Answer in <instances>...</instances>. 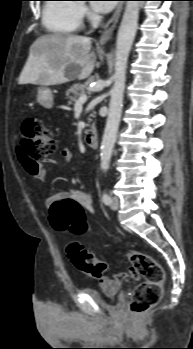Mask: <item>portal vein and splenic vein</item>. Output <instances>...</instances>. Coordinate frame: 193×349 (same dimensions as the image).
<instances>
[{
	"mask_svg": "<svg viewBox=\"0 0 193 349\" xmlns=\"http://www.w3.org/2000/svg\"><path fill=\"white\" fill-rule=\"evenodd\" d=\"M87 101V95L81 94L80 97L76 100L75 105L84 104Z\"/></svg>",
	"mask_w": 193,
	"mask_h": 349,
	"instance_id": "1",
	"label": "portal vein and splenic vein"
}]
</instances>
